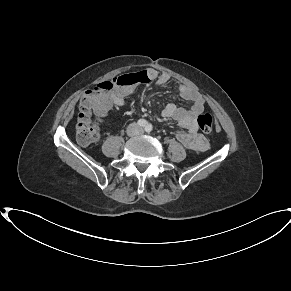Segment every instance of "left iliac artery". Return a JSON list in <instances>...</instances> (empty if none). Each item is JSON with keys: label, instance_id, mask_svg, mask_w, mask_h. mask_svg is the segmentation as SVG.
I'll return each mask as SVG.
<instances>
[{"label": "left iliac artery", "instance_id": "1", "mask_svg": "<svg viewBox=\"0 0 291 291\" xmlns=\"http://www.w3.org/2000/svg\"><path fill=\"white\" fill-rule=\"evenodd\" d=\"M145 131L150 133L152 131V125L151 124H147L145 127Z\"/></svg>", "mask_w": 291, "mask_h": 291}]
</instances>
